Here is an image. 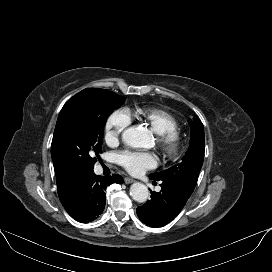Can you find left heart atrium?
Masks as SVG:
<instances>
[{
	"label": "left heart atrium",
	"mask_w": 272,
	"mask_h": 272,
	"mask_svg": "<svg viewBox=\"0 0 272 272\" xmlns=\"http://www.w3.org/2000/svg\"><path fill=\"white\" fill-rule=\"evenodd\" d=\"M117 162L129 173L138 175L157 165V157L153 152L125 150L117 154Z\"/></svg>",
	"instance_id": "39dd6f15"
}]
</instances>
